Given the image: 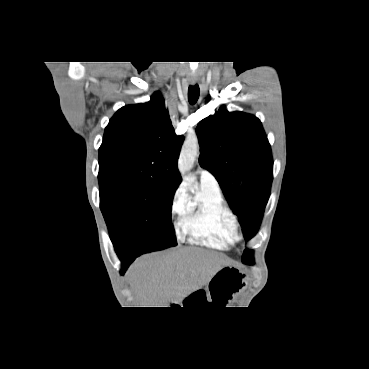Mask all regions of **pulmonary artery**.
<instances>
[{
  "mask_svg": "<svg viewBox=\"0 0 369 369\" xmlns=\"http://www.w3.org/2000/svg\"><path fill=\"white\" fill-rule=\"evenodd\" d=\"M199 179L201 182V185L214 188V189H220L217 179L214 177V175L209 172L208 170L204 168H199Z\"/></svg>",
  "mask_w": 369,
  "mask_h": 369,
  "instance_id": "1",
  "label": "pulmonary artery"
}]
</instances>
